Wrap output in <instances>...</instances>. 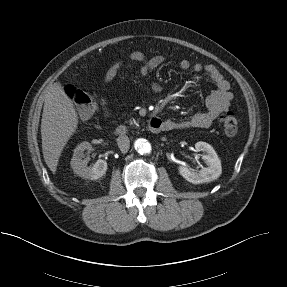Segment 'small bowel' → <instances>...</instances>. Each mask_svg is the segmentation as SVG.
Returning <instances> with one entry per match:
<instances>
[{
  "label": "small bowel",
  "mask_w": 287,
  "mask_h": 287,
  "mask_svg": "<svg viewBox=\"0 0 287 287\" xmlns=\"http://www.w3.org/2000/svg\"><path fill=\"white\" fill-rule=\"evenodd\" d=\"M164 61L165 58L163 55L147 57L143 52L133 51L126 58L117 59L108 66L103 75V84L111 82L129 62L137 63L139 65V73L143 77L148 78ZM179 67L183 71L195 74L204 72L213 81L216 89L207 97L206 108L204 110L195 112L190 117L184 119H165L162 121L164 125L163 130L209 127L221 113L229 108L233 100L230 83L214 65L191 63L189 60L184 59L180 61ZM150 87L154 93L161 91V86L156 82H151ZM101 105L105 117H108L110 113L106 98H102Z\"/></svg>",
  "instance_id": "c3829d8e"
}]
</instances>
